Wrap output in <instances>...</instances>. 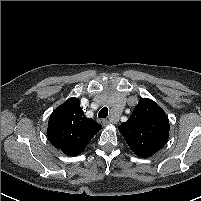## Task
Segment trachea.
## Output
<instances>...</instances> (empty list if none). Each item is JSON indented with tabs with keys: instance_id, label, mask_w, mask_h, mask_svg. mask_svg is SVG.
<instances>
[{
	"instance_id": "1",
	"label": "trachea",
	"mask_w": 201,
	"mask_h": 201,
	"mask_svg": "<svg viewBox=\"0 0 201 201\" xmlns=\"http://www.w3.org/2000/svg\"><path fill=\"white\" fill-rule=\"evenodd\" d=\"M108 111L109 110L107 107L102 108L98 113V117L99 118H106L108 116Z\"/></svg>"
}]
</instances>
